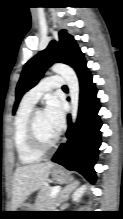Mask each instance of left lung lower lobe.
Returning <instances> with one entry per match:
<instances>
[{"mask_svg": "<svg viewBox=\"0 0 123 219\" xmlns=\"http://www.w3.org/2000/svg\"><path fill=\"white\" fill-rule=\"evenodd\" d=\"M75 71L80 82L78 118L73 125L70 115L68 116L69 128L66 133L68 141L60 145L52 161L69 170L80 172L93 183L96 179L94 164L101 144L102 124L98 116L100 104L86 62L83 61Z\"/></svg>", "mask_w": 123, "mask_h": 219, "instance_id": "left-lung-lower-lobe-1", "label": "left lung lower lobe"}]
</instances>
